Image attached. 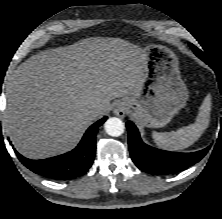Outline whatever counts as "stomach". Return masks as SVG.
<instances>
[{"instance_id":"1","label":"stomach","mask_w":222,"mask_h":219,"mask_svg":"<svg viewBox=\"0 0 222 219\" xmlns=\"http://www.w3.org/2000/svg\"><path fill=\"white\" fill-rule=\"evenodd\" d=\"M144 77L140 91L120 102L126 113L147 127L168 124L188 99L176 54L169 48L150 44L144 49Z\"/></svg>"}]
</instances>
